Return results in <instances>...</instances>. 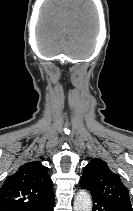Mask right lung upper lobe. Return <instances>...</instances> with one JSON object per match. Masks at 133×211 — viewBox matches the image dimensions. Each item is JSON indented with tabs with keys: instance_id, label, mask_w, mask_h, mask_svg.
Wrapping results in <instances>:
<instances>
[{
	"instance_id": "obj_1",
	"label": "right lung upper lobe",
	"mask_w": 133,
	"mask_h": 211,
	"mask_svg": "<svg viewBox=\"0 0 133 211\" xmlns=\"http://www.w3.org/2000/svg\"><path fill=\"white\" fill-rule=\"evenodd\" d=\"M54 197L52 181L40 161L27 162L0 189V211H30Z\"/></svg>"
}]
</instances>
